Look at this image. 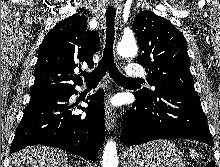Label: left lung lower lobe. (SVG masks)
<instances>
[{"label":"left lung lower lobe","mask_w":220,"mask_h":167,"mask_svg":"<svg viewBox=\"0 0 220 167\" xmlns=\"http://www.w3.org/2000/svg\"><path fill=\"white\" fill-rule=\"evenodd\" d=\"M134 95L136 102L125 114L123 144L187 138L214 145L197 92L169 87L154 97Z\"/></svg>","instance_id":"left-lung-lower-lobe-1"}]
</instances>
